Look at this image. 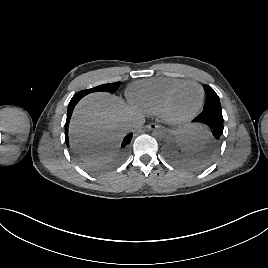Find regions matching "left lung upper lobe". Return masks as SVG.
Returning <instances> with one entry per match:
<instances>
[{"mask_svg":"<svg viewBox=\"0 0 268 268\" xmlns=\"http://www.w3.org/2000/svg\"><path fill=\"white\" fill-rule=\"evenodd\" d=\"M203 87L206 93V101L204 105V110H207V109L222 110L220 100L216 92L208 85H203Z\"/></svg>","mask_w":268,"mask_h":268,"instance_id":"1","label":"left lung upper lobe"}]
</instances>
